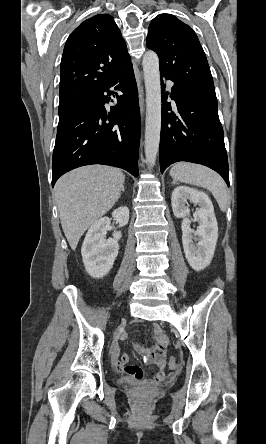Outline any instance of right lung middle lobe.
<instances>
[{"label": "right lung middle lobe", "instance_id": "obj_1", "mask_svg": "<svg viewBox=\"0 0 266 444\" xmlns=\"http://www.w3.org/2000/svg\"><path fill=\"white\" fill-rule=\"evenodd\" d=\"M90 95L72 96L60 99L59 102V118L64 117L72 110L76 109L79 105L83 104Z\"/></svg>", "mask_w": 266, "mask_h": 444}]
</instances>
